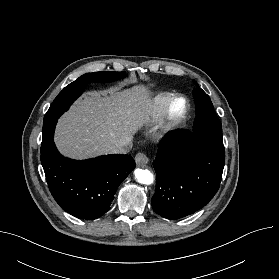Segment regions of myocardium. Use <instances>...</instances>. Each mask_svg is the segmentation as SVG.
<instances>
[{"label":"myocardium","mask_w":279,"mask_h":279,"mask_svg":"<svg viewBox=\"0 0 279 279\" xmlns=\"http://www.w3.org/2000/svg\"><path fill=\"white\" fill-rule=\"evenodd\" d=\"M178 100L183 101L184 108L180 114L173 115L172 107H173L174 103ZM189 110H190V104H189L187 98H185L184 96H181V95L173 96L166 104V106L163 110L162 116H161L164 130L171 131V130H174V129L178 128L179 126H181L187 119Z\"/></svg>","instance_id":"1"}]
</instances>
